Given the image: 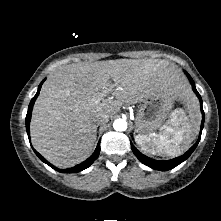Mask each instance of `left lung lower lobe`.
<instances>
[{
  "label": "left lung lower lobe",
  "instance_id": "left-lung-lower-lobe-1",
  "mask_svg": "<svg viewBox=\"0 0 221 221\" xmlns=\"http://www.w3.org/2000/svg\"><path fill=\"white\" fill-rule=\"evenodd\" d=\"M188 78L191 81L192 84V88L193 91L196 93L197 97L199 98L200 101V109L202 112V122H201V130H200V135H199V139L198 141L182 156H179L177 158L171 159V160H167V161H159V160H154L151 159L145 155H143L142 153H140L131 143V148L133 153L135 154V156L146 166L152 168V169H156V170H160V171H167L170 169H173L174 167H176L177 165H179L180 163H182L183 161H185L191 154L192 152L195 150V148L197 147L200 138H201V133H202V129H203V125H204V111L202 108V99L200 94L197 92L194 82L192 80V78L188 75Z\"/></svg>",
  "mask_w": 221,
  "mask_h": 221
}]
</instances>
